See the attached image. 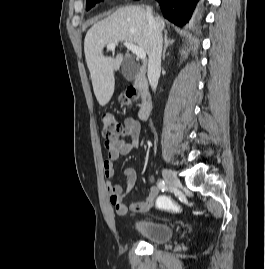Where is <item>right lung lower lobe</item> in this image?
I'll use <instances>...</instances> for the list:
<instances>
[{
    "mask_svg": "<svg viewBox=\"0 0 265 269\" xmlns=\"http://www.w3.org/2000/svg\"><path fill=\"white\" fill-rule=\"evenodd\" d=\"M164 17L182 26L189 21L199 0H157Z\"/></svg>",
    "mask_w": 265,
    "mask_h": 269,
    "instance_id": "right-lung-lower-lobe-1",
    "label": "right lung lower lobe"
}]
</instances>
